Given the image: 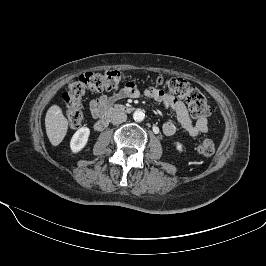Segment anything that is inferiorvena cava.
Returning <instances> with one entry per match:
<instances>
[{"label": "inferior vena cava", "instance_id": "inferior-vena-cava-1", "mask_svg": "<svg viewBox=\"0 0 266 266\" xmlns=\"http://www.w3.org/2000/svg\"><path fill=\"white\" fill-rule=\"evenodd\" d=\"M127 120V115L124 112H115L111 115V122L113 125H118Z\"/></svg>", "mask_w": 266, "mask_h": 266}]
</instances>
